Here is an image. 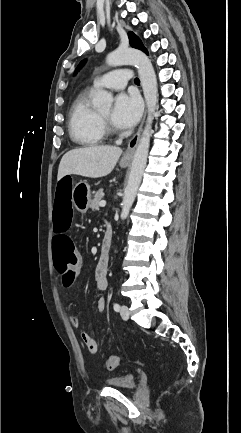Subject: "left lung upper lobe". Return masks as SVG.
Instances as JSON below:
<instances>
[{"instance_id":"left-lung-upper-lobe-1","label":"left lung upper lobe","mask_w":241,"mask_h":433,"mask_svg":"<svg viewBox=\"0 0 241 433\" xmlns=\"http://www.w3.org/2000/svg\"><path fill=\"white\" fill-rule=\"evenodd\" d=\"M128 36H129L130 45L132 47L139 49L148 55L147 49L144 47L143 43L141 42L138 36H136L133 32H129ZM84 63L85 61H82L79 64V66L77 67V71L84 65Z\"/></svg>"}]
</instances>
